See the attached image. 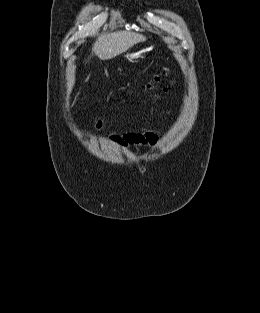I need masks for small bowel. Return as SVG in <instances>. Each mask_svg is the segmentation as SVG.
Masks as SVG:
<instances>
[{
    "mask_svg": "<svg viewBox=\"0 0 260 313\" xmlns=\"http://www.w3.org/2000/svg\"><path fill=\"white\" fill-rule=\"evenodd\" d=\"M102 122L98 120L95 123V128L101 130ZM109 142L121 150L128 147H138L141 149H148L156 147L159 143L158 136L152 131L143 132H126V133H112L109 136Z\"/></svg>",
    "mask_w": 260,
    "mask_h": 313,
    "instance_id": "c3829d8e",
    "label": "small bowel"
}]
</instances>
